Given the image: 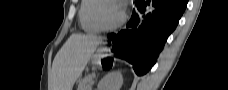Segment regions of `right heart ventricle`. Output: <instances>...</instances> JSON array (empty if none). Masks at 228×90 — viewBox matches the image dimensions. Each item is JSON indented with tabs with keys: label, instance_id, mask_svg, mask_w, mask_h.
<instances>
[{
	"label": "right heart ventricle",
	"instance_id": "right-heart-ventricle-1",
	"mask_svg": "<svg viewBox=\"0 0 228 90\" xmlns=\"http://www.w3.org/2000/svg\"><path fill=\"white\" fill-rule=\"evenodd\" d=\"M97 0H83L79 7V21L82 29L87 33H98L101 27L94 20L93 12Z\"/></svg>",
	"mask_w": 228,
	"mask_h": 90
}]
</instances>
